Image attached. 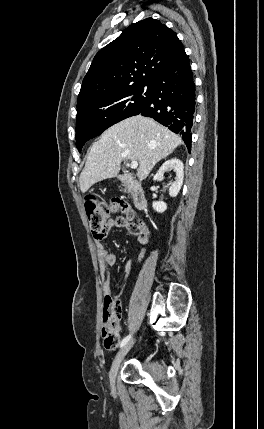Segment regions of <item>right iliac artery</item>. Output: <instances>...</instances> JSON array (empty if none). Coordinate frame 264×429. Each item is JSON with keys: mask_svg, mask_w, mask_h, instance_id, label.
Segmentation results:
<instances>
[{"mask_svg": "<svg viewBox=\"0 0 264 429\" xmlns=\"http://www.w3.org/2000/svg\"><path fill=\"white\" fill-rule=\"evenodd\" d=\"M131 335L126 336L120 343V347H123L130 340Z\"/></svg>", "mask_w": 264, "mask_h": 429, "instance_id": "1", "label": "right iliac artery"}]
</instances>
